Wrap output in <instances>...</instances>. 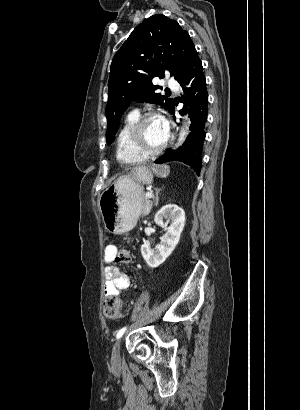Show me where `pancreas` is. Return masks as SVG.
Here are the masks:
<instances>
[{
  "label": "pancreas",
  "instance_id": "pancreas-1",
  "mask_svg": "<svg viewBox=\"0 0 300 410\" xmlns=\"http://www.w3.org/2000/svg\"><path fill=\"white\" fill-rule=\"evenodd\" d=\"M153 203L149 199H144L142 204V214L144 216L148 215L152 209Z\"/></svg>",
  "mask_w": 300,
  "mask_h": 410
}]
</instances>
